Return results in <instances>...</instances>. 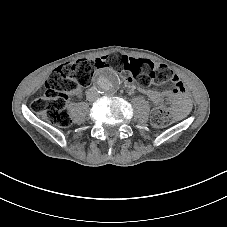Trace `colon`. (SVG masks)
Returning a JSON list of instances; mask_svg holds the SVG:
<instances>
[{"label":"colon","mask_w":227,"mask_h":227,"mask_svg":"<svg viewBox=\"0 0 227 227\" xmlns=\"http://www.w3.org/2000/svg\"><path fill=\"white\" fill-rule=\"evenodd\" d=\"M106 67L131 75L145 88L152 84L172 82L163 95L165 103L172 102L184 90L179 77L166 65L113 53L95 60L81 59L57 67L49 76L44 93L34 101V111L55 125L69 126L72 120L67 107L68 96L76 94L80 87L88 86L96 69ZM170 120L169 110L163 107L154 110L151 116L156 128L165 127Z\"/></svg>","instance_id":"obj_1"}]
</instances>
